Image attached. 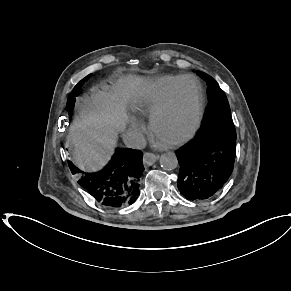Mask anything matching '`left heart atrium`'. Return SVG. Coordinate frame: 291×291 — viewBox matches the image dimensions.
<instances>
[{"instance_id": "left-heart-atrium-1", "label": "left heart atrium", "mask_w": 291, "mask_h": 291, "mask_svg": "<svg viewBox=\"0 0 291 291\" xmlns=\"http://www.w3.org/2000/svg\"><path fill=\"white\" fill-rule=\"evenodd\" d=\"M154 143L156 144V145H158V146H163V145H165L167 142L166 141H164L163 139H161V138H159V137H155V139H154Z\"/></svg>"}]
</instances>
